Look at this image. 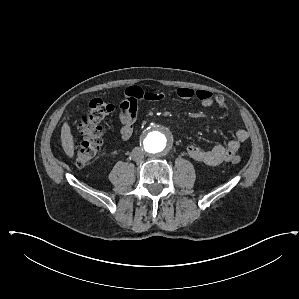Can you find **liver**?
Returning a JSON list of instances; mask_svg holds the SVG:
<instances>
[{
	"mask_svg": "<svg viewBox=\"0 0 299 299\" xmlns=\"http://www.w3.org/2000/svg\"><path fill=\"white\" fill-rule=\"evenodd\" d=\"M61 143L66 155L72 158L74 156V139L67 122H64L61 128Z\"/></svg>",
	"mask_w": 299,
	"mask_h": 299,
	"instance_id": "obj_1",
	"label": "liver"
}]
</instances>
